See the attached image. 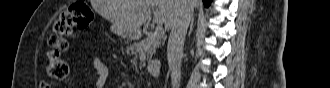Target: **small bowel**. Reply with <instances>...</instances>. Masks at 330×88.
I'll list each match as a JSON object with an SVG mask.
<instances>
[{
	"label": "small bowel",
	"instance_id": "c3829d8e",
	"mask_svg": "<svg viewBox=\"0 0 330 88\" xmlns=\"http://www.w3.org/2000/svg\"><path fill=\"white\" fill-rule=\"evenodd\" d=\"M67 36L73 38V39H77L80 36L75 33V32H70ZM91 63L93 68L95 69L96 73H97V81H96V86L99 88H102L105 86L106 81L108 79L109 76V70L107 68V66L103 63V61L97 57V56H92L91 57Z\"/></svg>",
	"mask_w": 330,
	"mask_h": 88
}]
</instances>
